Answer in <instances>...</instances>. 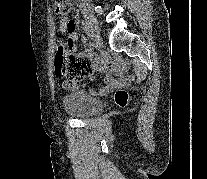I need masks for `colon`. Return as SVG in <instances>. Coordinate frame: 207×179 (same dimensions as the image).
I'll list each match as a JSON object with an SVG mask.
<instances>
[{"label":"colon","instance_id":"5ec220e1","mask_svg":"<svg viewBox=\"0 0 207 179\" xmlns=\"http://www.w3.org/2000/svg\"><path fill=\"white\" fill-rule=\"evenodd\" d=\"M55 11L61 17H67L71 11L69 0H56ZM70 42L61 39L56 55V74L58 78L69 84H76L87 77L92 68L88 58L75 56L70 51ZM128 95L124 90H118L114 94V100L120 107L127 103Z\"/></svg>","mask_w":207,"mask_h":179}]
</instances>
